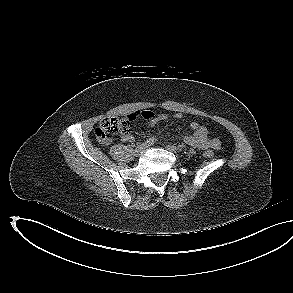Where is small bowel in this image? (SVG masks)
<instances>
[{
    "label": "small bowel",
    "mask_w": 293,
    "mask_h": 293,
    "mask_svg": "<svg viewBox=\"0 0 293 293\" xmlns=\"http://www.w3.org/2000/svg\"><path fill=\"white\" fill-rule=\"evenodd\" d=\"M138 117H142L146 120L148 127H153L157 123L165 121L167 115L164 113L156 114L151 110L134 111L127 115L130 121L135 120ZM176 119H180L182 114L177 113L174 115ZM193 130L192 134L184 136V142L192 147L205 149V150H217L220 147V141L216 138L208 137V130L205 126L200 125L198 122L193 121L190 124ZM122 140L125 142H133L135 140L132 134L122 135Z\"/></svg>",
    "instance_id": "small-bowel-1"
}]
</instances>
